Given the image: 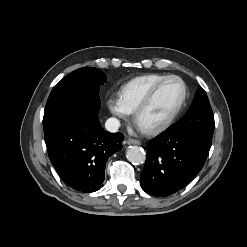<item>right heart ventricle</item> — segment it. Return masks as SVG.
<instances>
[{
	"mask_svg": "<svg viewBox=\"0 0 247 247\" xmlns=\"http://www.w3.org/2000/svg\"><path fill=\"white\" fill-rule=\"evenodd\" d=\"M168 75L146 74L135 77L126 82L119 90V100L124 109L134 113L149 91Z\"/></svg>",
	"mask_w": 247,
	"mask_h": 247,
	"instance_id": "e07e8e85",
	"label": "right heart ventricle"
}]
</instances>
